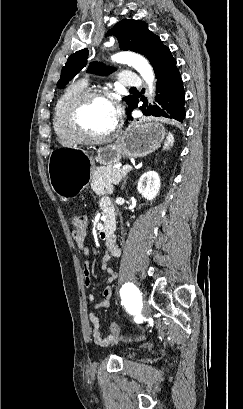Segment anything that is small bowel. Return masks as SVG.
Returning <instances> with one entry per match:
<instances>
[{"instance_id":"obj_1","label":"small bowel","mask_w":243,"mask_h":409,"mask_svg":"<svg viewBox=\"0 0 243 409\" xmlns=\"http://www.w3.org/2000/svg\"><path fill=\"white\" fill-rule=\"evenodd\" d=\"M96 190L100 193H106L109 191L108 187L101 186V185L96 186ZM101 207L103 211L106 209L113 210L111 201L107 197L103 198L101 202ZM81 247L84 250V254L88 255L89 253L88 249L84 245H82ZM120 255H121V249L119 245L117 244L115 236H113L110 240L106 241V253L102 259V265H101L102 269L108 274L106 285L103 289V299L100 302L94 304L93 306L94 310H98L101 308H108L110 306V299L112 296V284L117 279V273L111 267V259L117 258ZM83 274H84V284L87 288H89L92 283V278H91L89 262L87 260L83 264ZM89 300L91 302H94L95 300L94 294L89 295ZM89 319L92 325L91 335H92L94 342L97 345L102 346V347H111L118 342V339L114 337L113 335H103L102 334L101 327H100V318L95 312H92L89 315Z\"/></svg>"}]
</instances>
